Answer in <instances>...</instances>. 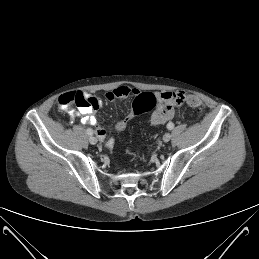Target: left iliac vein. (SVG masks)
Listing matches in <instances>:
<instances>
[{"mask_svg": "<svg viewBox=\"0 0 259 259\" xmlns=\"http://www.w3.org/2000/svg\"><path fill=\"white\" fill-rule=\"evenodd\" d=\"M170 139H171V135H170L169 133H166V134L163 136V141H164V142H168Z\"/></svg>", "mask_w": 259, "mask_h": 259, "instance_id": "obj_1", "label": "left iliac vein"}]
</instances>
